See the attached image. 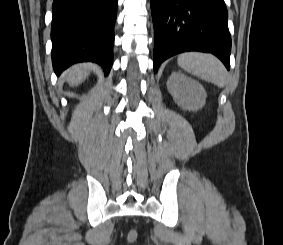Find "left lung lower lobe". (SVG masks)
<instances>
[{
	"label": "left lung lower lobe",
	"instance_id": "0a47b994",
	"mask_svg": "<svg viewBox=\"0 0 283 245\" xmlns=\"http://www.w3.org/2000/svg\"><path fill=\"white\" fill-rule=\"evenodd\" d=\"M154 71L185 51L216 55L229 70L231 37L224 0H151Z\"/></svg>",
	"mask_w": 283,
	"mask_h": 245
}]
</instances>
